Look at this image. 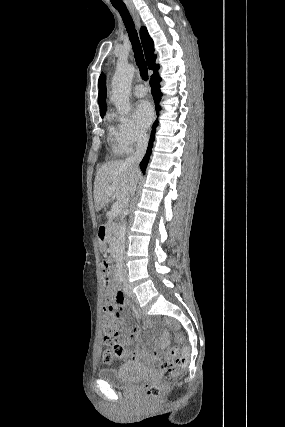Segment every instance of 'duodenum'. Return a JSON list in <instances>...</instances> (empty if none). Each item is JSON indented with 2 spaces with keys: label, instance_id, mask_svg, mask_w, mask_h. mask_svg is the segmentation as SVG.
Masks as SVG:
<instances>
[{
  "label": "duodenum",
  "instance_id": "1",
  "mask_svg": "<svg viewBox=\"0 0 285 427\" xmlns=\"http://www.w3.org/2000/svg\"><path fill=\"white\" fill-rule=\"evenodd\" d=\"M111 232H116V228L113 226H101L98 229V241L101 246L106 245V235Z\"/></svg>",
  "mask_w": 285,
  "mask_h": 427
}]
</instances>
